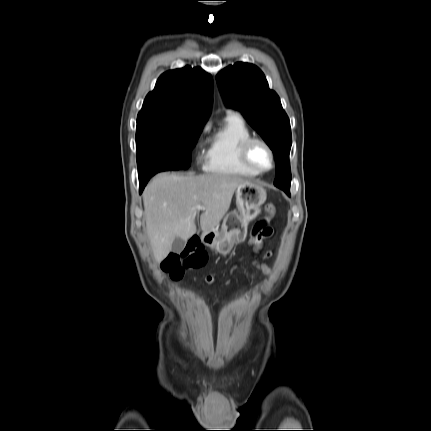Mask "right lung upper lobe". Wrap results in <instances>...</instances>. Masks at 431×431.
<instances>
[{
    "label": "right lung upper lobe",
    "mask_w": 431,
    "mask_h": 431,
    "mask_svg": "<svg viewBox=\"0 0 431 431\" xmlns=\"http://www.w3.org/2000/svg\"><path fill=\"white\" fill-rule=\"evenodd\" d=\"M212 76L186 66L163 73L138 114L141 119H165L204 125L212 105Z\"/></svg>",
    "instance_id": "obj_1"
}]
</instances>
